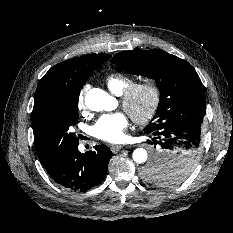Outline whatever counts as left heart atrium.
Instances as JSON below:
<instances>
[{
    "instance_id": "left-heart-atrium-1",
    "label": "left heart atrium",
    "mask_w": 233,
    "mask_h": 233,
    "mask_svg": "<svg viewBox=\"0 0 233 233\" xmlns=\"http://www.w3.org/2000/svg\"><path fill=\"white\" fill-rule=\"evenodd\" d=\"M128 124V118L122 112L105 114L92 126L91 133L96 138L104 141L121 142L125 139Z\"/></svg>"
}]
</instances>
